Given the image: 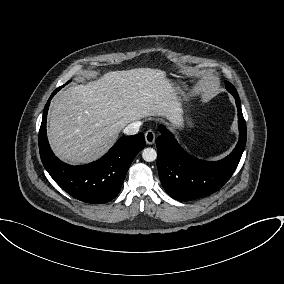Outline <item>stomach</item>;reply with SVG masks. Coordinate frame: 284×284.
<instances>
[{"label":"stomach","instance_id":"0dacf381","mask_svg":"<svg viewBox=\"0 0 284 284\" xmlns=\"http://www.w3.org/2000/svg\"><path fill=\"white\" fill-rule=\"evenodd\" d=\"M176 87V91H177V95L182 98V99H186V94L185 91L187 90V86L185 85V83L181 82L180 85L178 84H174ZM188 123L190 124V126L192 125V122L190 120H188Z\"/></svg>","mask_w":284,"mask_h":284}]
</instances>
